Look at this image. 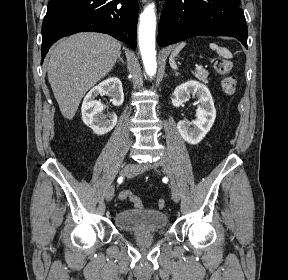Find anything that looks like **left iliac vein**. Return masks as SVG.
Returning <instances> with one entry per match:
<instances>
[{"label": "left iliac vein", "instance_id": "1", "mask_svg": "<svg viewBox=\"0 0 288 280\" xmlns=\"http://www.w3.org/2000/svg\"><path fill=\"white\" fill-rule=\"evenodd\" d=\"M162 166L164 171L169 174L170 176L172 175V170L170 167V163L168 161V159H161L159 162L157 163H153L151 165H147L146 168H156L158 166ZM173 182L175 183V181L173 180ZM171 192H172V198L175 202H179L180 200V193H179V189L175 183L174 187H171Z\"/></svg>", "mask_w": 288, "mask_h": 280}]
</instances>
